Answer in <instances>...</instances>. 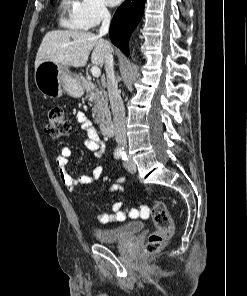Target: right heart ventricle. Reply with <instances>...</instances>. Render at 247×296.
I'll list each match as a JSON object with an SVG mask.
<instances>
[{"mask_svg": "<svg viewBox=\"0 0 247 296\" xmlns=\"http://www.w3.org/2000/svg\"><path fill=\"white\" fill-rule=\"evenodd\" d=\"M78 0H61L60 10L62 15L60 17L61 25L71 29H84V27L75 18Z\"/></svg>", "mask_w": 247, "mask_h": 296, "instance_id": "right-heart-ventricle-1", "label": "right heart ventricle"}]
</instances>
